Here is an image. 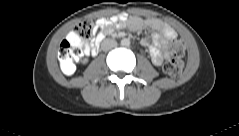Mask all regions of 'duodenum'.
<instances>
[{
    "instance_id": "1",
    "label": "duodenum",
    "mask_w": 239,
    "mask_h": 136,
    "mask_svg": "<svg viewBox=\"0 0 239 136\" xmlns=\"http://www.w3.org/2000/svg\"><path fill=\"white\" fill-rule=\"evenodd\" d=\"M103 39H104V35H103V34H99V35L97 36V38L95 39V42H94V44H93V46H92V50H91V52H92L93 55L97 54V52H98V50H99V47H100V43H101V41H102Z\"/></svg>"
}]
</instances>
